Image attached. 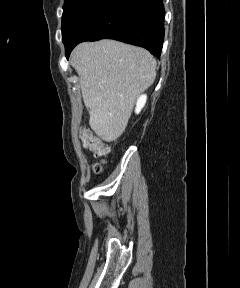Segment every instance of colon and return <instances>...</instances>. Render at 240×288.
<instances>
[{"label": "colon", "instance_id": "1", "mask_svg": "<svg viewBox=\"0 0 240 288\" xmlns=\"http://www.w3.org/2000/svg\"><path fill=\"white\" fill-rule=\"evenodd\" d=\"M80 138L84 146L99 158V162L94 167V171L99 173L102 170V165L106 162V158L109 154V147L89 131H82Z\"/></svg>", "mask_w": 240, "mask_h": 288}]
</instances>
